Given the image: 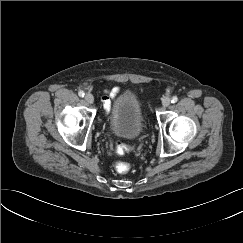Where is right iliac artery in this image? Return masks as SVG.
<instances>
[{
    "mask_svg": "<svg viewBox=\"0 0 243 243\" xmlns=\"http://www.w3.org/2000/svg\"><path fill=\"white\" fill-rule=\"evenodd\" d=\"M78 95H79L80 97H83V96H84V92H83V91H79V92H78Z\"/></svg>",
    "mask_w": 243,
    "mask_h": 243,
    "instance_id": "obj_1",
    "label": "right iliac artery"
}]
</instances>
